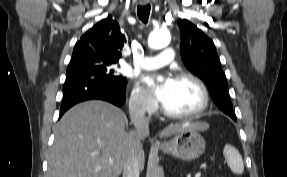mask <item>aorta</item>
<instances>
[{"label":"aorta","mask_w":287,"mask_h":177,"mask_svg":"<svg viewBox=\"0 0 287 177\" xmlns=\"http://www.w3.org/2000/svg\"><path fill=\"white\" fill-rule=\"evenodd\" d=\"M171 41L170 33L166 30H157L150 33L148 37V46L152 49H161L166 47Z\"/></svg>","instance_id":"aorta-1"}]
</instances>
